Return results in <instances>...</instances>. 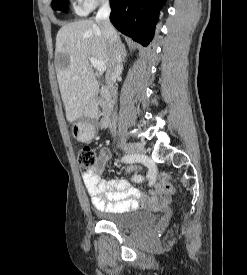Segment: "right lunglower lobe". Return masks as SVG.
<instances>
[{
    "instance_id": "right-lung-lower-lobe-1",
    "label": "right lung lower lobe",
    "mask_w": 247,
    "mask_h": 275,
    "mask_svg": "<svg viewBox=\"0 0 247 275\" xmlns=\"http://www.w3.org/2000/svg\"><path fill=\"white\" fill-rule=\"evenodd\" d=\"M112 24L123 34L147 46L154 35L159 12L166 0H110Z\"/></svg>"
}]
</instances>
